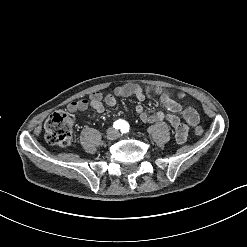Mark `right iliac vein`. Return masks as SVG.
<instances>
[{"label":"right iliac vein","mask_w":247,"mask_h":247,"mask_svg":"<svg viewBox=\"0 0 247 247\" xmlns=\"http://www.w3.org/2000/svg\"><path fill=\"white\" fill-rule=\"evenodd\" d=\"M106 138L109 140L116 138V131L114 129L108 130Z\"/></svg>","instance_id":"right-iliac-vein-1"}]
</instances>
